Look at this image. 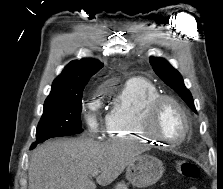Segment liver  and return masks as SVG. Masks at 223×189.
Masks as SVG:
<instances>
[{"label":"liver","instance_id":"liver-1","mask_svg":"<svg viewBox=\"0 0 223 189\" xmlns=\"http://www.w3.org/2000/svg\"><path fill=\"white\" fill-rule=\"evenodd\" d=\"M139 146L126 142L100 143L91 138L47 141L32 153L28 189H96V182L111 184L140 154Z\"/></svg>","mask_w":223,"mask_h":189}]
</instances>
